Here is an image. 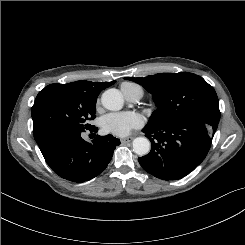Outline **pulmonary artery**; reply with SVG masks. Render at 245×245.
<instances>
[{
	"mask_svg": "<svg viewBox=\"0 0 245 245\" xmlns=\"http://www.w3.org/2000/svg\"><path fill=\"white\" fill-rule=\"evenodd\" d=\"M142 96H143L142 89H135L131 91L129 94H127L125 97L127 100L131 102H137L138 100L141 99Z\"/></svg>",
	"mask_w": 245,
	"mask_h": 245,
	"instance_id": "1",
	"label": "pulmonary artery"
}]
</instances>
